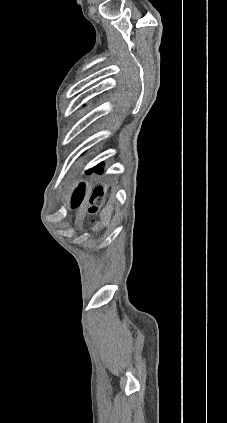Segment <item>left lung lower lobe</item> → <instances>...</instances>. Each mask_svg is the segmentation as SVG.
Instances as JSON below:
<instances>
[{
	"mask_svg": "<svg viewBox=\"0 0 227 423\" xmlns=\"http://www.w3.org/2000/svg\"><path fill=\"white\" fill-rule=\"evenodd\" d=\"M102 163L98 164L97 166L94 167V169H90L87 171V173H90L92 170H94L96 173L101 174L102 172Z\"/></svg>",
	"mask_w": 227,
	"mask_h": 423,
	"instance_id": "1",
	"label": "left lung lower lobe"
}]
</instances>
